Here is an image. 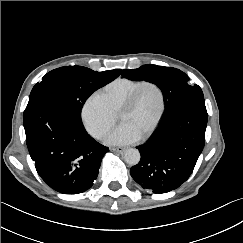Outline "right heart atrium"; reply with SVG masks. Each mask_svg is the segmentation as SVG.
<instances>
[{
	"mask_svg": "<svg viewBox=\"0 0 243 243\" xmlns=\"http://www.w3.org/2000/svg\"><path fill=\"white\" fill-rule=\"evenodd\" d=\"M82 122L96 139H103L111 131L116 117L102 96L95 92L83 104L81 110Z\"/></svg>",
	"mask_w": 243,
	"mask_h": 243,
	"instance_id": "1",
	"label": "right heart atrium"
}]
</instances>
